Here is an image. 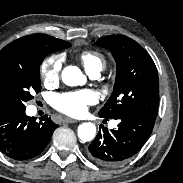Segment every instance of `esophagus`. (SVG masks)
<instances>
[{
  "instance_id": "esophagus-1",
  "label": "esophagus",
  "mask_w": 183,
  "mask_h": 183,
  "mask_svg": "<svg viewBox=\"0 0 183 183\" xmlns=\"http://www.w3.org/2000/svg\"><path fill=\"white\" fill-rule=\"evenodd\" d=\"M63 122H65V123H75L77 121L75 119H73V118L65 117L63 119Z\"/></svg>"
}]
</instances>
